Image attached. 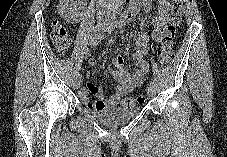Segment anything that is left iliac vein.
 Here are the masks:
<instances>
[{
	"mask_svg": "<svg viewBox=\"0 0 227 157\" xmlns=\"http://www.w3.org/2000/svg\"><path fill=\"white\" fill-rule=\"evenodd\" d=\"M155 94H156L155 86L150 84V85L147 87V95H148L149 97H153Z\"/></svg>",
	"mask_w": 227,
	"mask_h": 157,
	"instance_id": "left-iliac-vein-1",
	"label": "left iliac vein"
}]
</instances>
